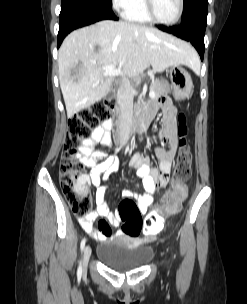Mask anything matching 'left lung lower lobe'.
Here are the masks:
<instances>
[{"instance_id":"0a47b994","label":"left lung lower lobe","mask_w":247,"mask_h":304,"mask_svg":"<svg viewBox=\"0 0 247 304\" xmlns=\"http://www.w3.org/2000/svg\"><path fill=\"white\" fill-rule=\"evenodd\" d=\"M207 7L208 1L195 6L187 17L182 19V23L179 26L172 28L158 26L162 31L190 41L197 49L201 60H203L205 50L204 35L207 25Z\"/></svg>"}]
</instances>
